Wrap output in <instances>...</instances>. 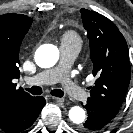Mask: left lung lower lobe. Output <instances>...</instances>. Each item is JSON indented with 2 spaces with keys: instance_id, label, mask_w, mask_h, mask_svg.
<instances>
[{
  "instance_id": "obj_1",
  "label": "left lung lower lobe",
  "mask_w": 133,
  "mask_h": 133,
  "mask_svg": "<svg viewBox=\"0 0 133 133\" xmlns=\"http://www.w3.org/2000/svg\"><path fill=\"white\" fill-rule=\"evenodd\" d=\"M84 107L87 109L88 118L80 126L83 133L98 132L104 129L118 113L117 109L108 108L95 101L87 100Z\"/></svg>"
}]
</instances>
